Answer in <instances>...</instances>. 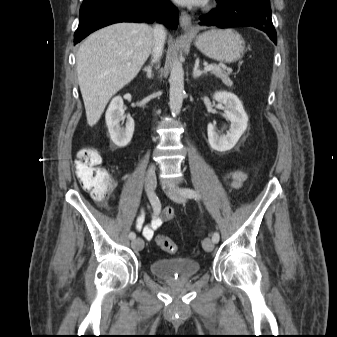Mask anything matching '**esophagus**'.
<instances>
[{"label":"esophagus","mask_w":337,"mask_h":337,"mask_svg":"<svg viewBox=\"0 0 337 337\" xmlns=\"http://www.w3.org/2000/svg\"><path fill=\"white\" fill-rule=\"evenodd\" d=\"M180 25L183 31L189 32L192 31V21L190 15L183 11L180 16Z\"/></svg>","instance_id":"1"}]
</instances>
